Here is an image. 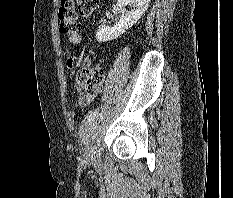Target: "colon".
<instances>
[{"instance_id":"1","label":"colon","mask_w":233,"mask_h":198,"mask_svg":"<svg viewBox=\"0 0 233 198\" xmlns=\"http://www.w3.org/2000/svg\"><path fill=\"white\" fill-rule=\"evenodd\" d=\"M99 0H61L58 12L60 31L65 34L71 43L80 40L78 15L89 16L98 7ZM70 67L73 60L68 61ZM77 86L87 94H94L104 80V71L99 67L83 68L74 75Z\"/></svg>"}]
</instances>
